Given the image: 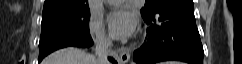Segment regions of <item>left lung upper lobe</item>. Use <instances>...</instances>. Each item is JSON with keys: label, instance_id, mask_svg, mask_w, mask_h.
Here are the masks:
<instances>
[{"label": "left lung upper lobe", "instance_id": "5c2ea615", "mask_svg": "<svg viewBox=\"0 0 242 64\" xmlns=\"http://www.w3.org/2000/svg\"><path fill=\"white\" fill-rule=\"evenodd\" d=\"M168 0H146L144 8L141 9L142 15H149L153 13L162 3Z\"/></svg>", "mask_w": 242, "mask_h": 64}]
</instances>
